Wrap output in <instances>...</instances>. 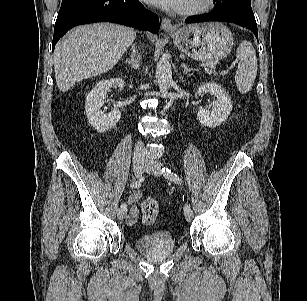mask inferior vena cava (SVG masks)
<instances>
[{
	"instance_id": "1",
	"label": "inferior vena cava",
	"mask_w": 307,
	"mask_h": 301,
	"mask_svg": "<svg viewBox=\"0 0 307 301\" xmlns=\"http://www.w3.org/2000/svg\"><path fill=\"white\" fill-rule=\"evenodd\" d=\"M138 59H140V55H138ZM145 148L141 141H138L134 148V154L140 155L144 152Z\"/></svg>"
}]
</instances>
